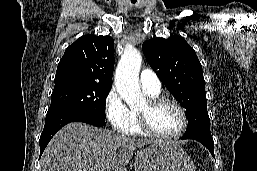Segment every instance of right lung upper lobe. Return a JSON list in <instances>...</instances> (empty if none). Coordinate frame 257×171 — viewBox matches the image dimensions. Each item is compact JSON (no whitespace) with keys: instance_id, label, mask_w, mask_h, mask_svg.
<instances>
[{"instance_id":"cb5924a9","label":"right lung upper lobe","mask_w":257,"mask_h":171,"mask_svg":"<svg viewBox=\"0 0 257 171\" xmlns=\"http://www.w3.org/2000/svg\"><path fill=\"white\" fill-rule=\"evenodd\" d=\"M114 40L110 36L84 35L68 46L61 58L54 88L90 83L112 86Z\"/></svg>"}]
</instances>
